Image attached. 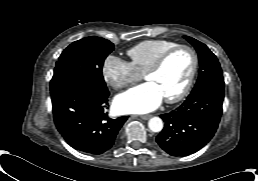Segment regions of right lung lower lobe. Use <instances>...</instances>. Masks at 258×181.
I'll list each match as a JSON object with an SVG mask.
<instances>
[{"label":"right lung lower lobe","instance_id":"obj_1","mask_svg":"<svg viewBox=\"0 0 258 181\" xmlns=\"http://www.w3.org/2000/svg\"><path fill=\"white\" fill-rule=\"evenodd\" d=\"M50 91L55 125L71 147L99 155L113 146L127 116L108 117L109 95L96 94L65 77H53Z\"/></svg>","mask_w":258,"mask_h":181}]
</instances>
